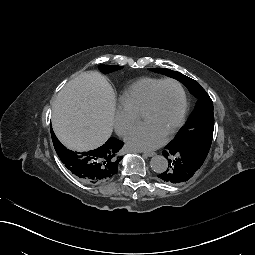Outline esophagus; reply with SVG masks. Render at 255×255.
Wrapping results in <instances>:
<instances>
[{
  "label": "esophagus",
  "mask_w": 255,
  "mask_h": 255,
  "mask_svg": "<svg viewBox=\"0 0 255 255\" xmlns=\"http://www.w3.org/2000/svg\"><path fill=\"white\" fill-rule=\"evenodd\" d=\"M138 152H140V151H138ZM155 154H156L155 152H144V155H146L147 157H152Z\"/></svg>",
  "instance_id": "34e87169"
}]
</instances>
